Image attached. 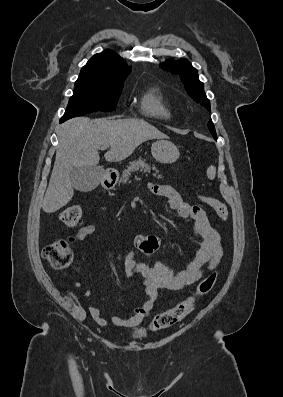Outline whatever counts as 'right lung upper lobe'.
<instances>
[{
	"label": "right lung upper lobe",
	"mask_w": 283,
	"mask_h": 397,
	"mask_svg": "<svg viewBox=\"0 0 283 397\" xmlns=\"http://www.w3.org/2000/svg\"><path fill=\"white\" fill-rule=\"evenodd\" d=\"M131 69L123 58L113 51L107 50L95 54L82 67L79 77L100 81H121L126 79Z\"/></svg>",
	"instance_id": "obj_1"
}]
</instances>
